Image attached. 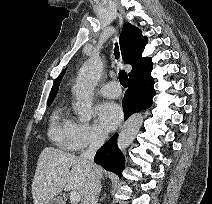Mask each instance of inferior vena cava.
Returning <instances> with one entry per match:
<instances>
[{
	"label": "inferior vena cava",
	"mask_w": 212,
	"mask_h": 204,
	"mask_svg": "<svg viewBox=\"0 0 212 204\" xmlns=\"http://www.w3.org/2000/svg\"><path fill=\"white\" fill-rule=\"evenodd\" d=\"M105 139L106 133L97 131L91 137L88 149L80 155V159L85 163L88 169L83 204H98L101 183L93 159L97 150L103 145Z\"/></svg>",
	"instance_id": "1"
}]
</instances>
